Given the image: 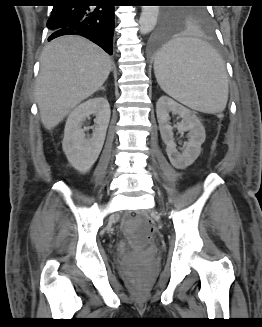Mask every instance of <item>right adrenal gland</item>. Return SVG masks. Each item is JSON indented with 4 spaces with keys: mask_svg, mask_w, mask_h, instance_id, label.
Returning a JSON list of instances; mask_svg holds the SVG:
<instances>
[{
    "mask_svg": "<svg viewBox=\"0 0 262 327\" xmlns=\"http://www.w3.org/2000/svg\"><path fill=\"white\" fill-rule=\"evenodd\" d=\"M100 90H103V91H105V88H104V87H101V88H100Z\"/></svg>",
    "mask_w": 262,
    "mask_h": 327,
    "instance_id": "obj_1",
    "label": "right adrenal gland"
}]
</instances>
